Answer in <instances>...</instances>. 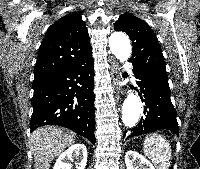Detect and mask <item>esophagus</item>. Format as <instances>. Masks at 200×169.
I'll list each match as a JSON object with an SVG mask.
<instances>
[{"instance_id": "1", "label": "esophagus", "mask_w": 200, "mask_h": 169, "mask_svg": "<svg viewBox=\"0 0 200 169\" xmlns=\"http://www.w3.org/2000/svg\"><path fill=\"white\" fill-rule=\"evenodd\" d=\"M110 72H111V78H112V82H113L115 92L117 93V95L123 94L122 89L117 84L118 80L120 79V68H119L118 63L115 60H113L111 62Z\"/></svg>"}]
</instances>
